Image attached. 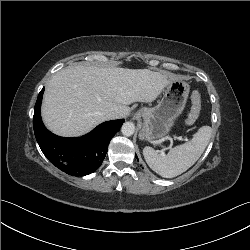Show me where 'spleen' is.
Masks as SVG:
<instances>
[{"label": "spleen", "instance_id": "3e777b00", "mask_svg": "<svg viewBox=\"0 0 250 250\" xmlns=\"http://www.w3.org/2000/svg\"><path fill=\"white\" fill-rule=\"evenodd\" d=\"M212 134L210 126H202L191 141L171 148L167 154H158L152 147L143 149L149 167L164 178H173L187 171L200 158Z\"/></svg>", "mask_w": 250, "mask_h": 250}]
</instances>
